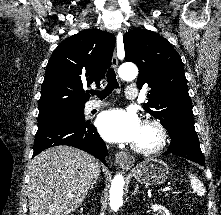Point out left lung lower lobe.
<instances>
[{"label": "left lung lower lobe", "instance_id": "0a47b994", "mask_svg": "<svg viewBox=\"0 0 221 215\" xmlns=\"http://www.w3.org/2000/svg\"><path fill=\"white\" fill-rule=\"evenodd\" d=\"M171 137V143L163 154L177 155L200 165H204V156L200 149L197 134L194 128L167 129Z\"/></svg>", "mask_w": 221, "mask_h": 215}]
</instances>
